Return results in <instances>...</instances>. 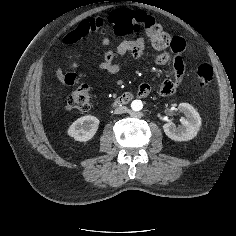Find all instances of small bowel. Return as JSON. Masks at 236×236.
Listing matches in <instances>:
<instances>
[{"label": "small bowel", "instance_id": "c3829d8e", "mask_svg": "<svg viewBox=\"0 0 236 236\" xmlns=\"http://www.w3.org/2000/svg\"><path fill=\"white\" fill-rule=\"evenodd\" d=\"M161 28L162 27L153 20L151 27L147 29L146 32L147 38L153 48L160 51V53L155 55L154 63L158 66H166L172 62V77L164 79L159 88V93L162 96H170L176 92L183 81L185 75L183 54L187 51L188 45L186 40L180 36L166 39L158 32ZM64 41L65 43H69L67 38H65ZM101 44L103 47L108 48L111 45V39L108 36H103ZM144 51L145 40L143 37L122 40L114 50H107L104 53L100 68L110 75H115L120 71V66L117 63L118 58L125 55L138 58L143 55ZM55 74L60 81H64L65 75L60 68L56 69ZM150 91L151 88L148 84H142L138 89V94L145 97L149 95Z\"/></svg>", "mask_w": 236, "mask_h": 236}]
</instances>
